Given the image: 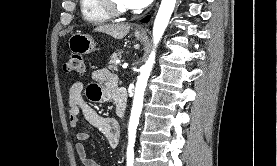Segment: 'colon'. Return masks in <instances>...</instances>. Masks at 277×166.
Instances as JSON below:
<instances>
[{
    "instance_id": "1",
    "label": "colon",
    "mask_w": 277,
    "mask_h": 166,
    "mask_svg": "<svg viewBox=\"0 0 277 166\" xmlns=\"http://www.w3.org/2000/svg\"><path fill=\"white\" fill-rule=\"evenodd\" d=\"M64 71L67 73L81 74L84 71V61L80 54H71L64 63Z\"/></svg>"
}]
</instances>
